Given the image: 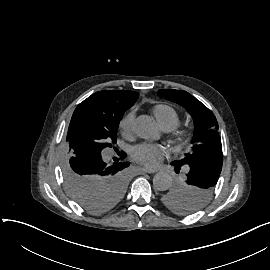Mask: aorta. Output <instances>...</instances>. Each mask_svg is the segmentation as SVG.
Wrapping results in <instances>:
<instances>
[{
	"instance_id": "aorta-1",
	"label": "aorta",
	"mask_w": 270,
	"mask_h": 270,
	"mask_svg": "<svg viewBox=\"0 0 270 270\" xmlns=\"http://www.w3.org/2000/svg\"><path fill=\"white\" fill-rule=\"evenodd\" d=\"M172 184V178L167 173H157L153 178V186L156 190H167Z\"/></svg>"
}]
</instances>
